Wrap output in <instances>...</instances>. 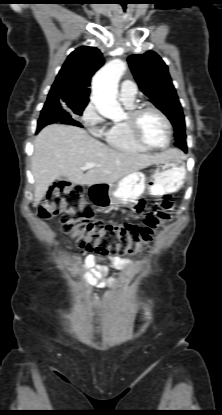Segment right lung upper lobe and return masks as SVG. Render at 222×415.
<instances>
[{
  "mask_svg": "<svg viewBox=\"0 0 222 415\" xmlns=\"http://www.w3.org/2000/svg\"><path fill=\"white\" fill-rule=\"evenodd\" d=\"M103 64L104 59L99 49L88 46L77 48L63 64L48 94L47 102L88 103L91 78ZM44 108L50 109L46 106Z\"/></svg>",
  "mask_w": 222,
  "mask_h": 415,
  "instance_id": "obj_1",
  "label": "right lung upper lobe"
}]
</instances>
